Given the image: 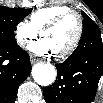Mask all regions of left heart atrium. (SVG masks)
Segmentation results:
<instances>
[{
  "label": "left heart atrium",
  "instance_id": "obj_1",
  "mask_svg": "<svg viewBox=\"0 0 103 103\" xmlns=\"http://www.w3.org/2000/svg\"><path fill=\"white\" fill-rule=\"evenodd\" d=\"M28 49L38 55H47L54 53L53 46L50 40L46 37H43L28 46Z\"/></svg>",
  "mask_w": 103,
  "mask_h": 103
}]
</instances>
